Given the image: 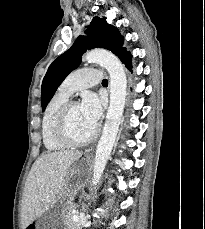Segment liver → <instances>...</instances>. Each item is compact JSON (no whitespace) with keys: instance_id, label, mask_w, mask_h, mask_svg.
Here are the masks:
<instances>
[{"instance_id":"obj_1","label":"liver","mask_w":205,"mask_h":229,"mask_svg":"<svg viewBox=\"0 0 205 229\" xmlns=\"http://www.w3.org/2000/svg\"><path fill=\"white\" fill-rule=\"evenodd\" d=\"M82 156L78 150H62L42 154L34 163L25 185L21 220L23 229L61 196L68 182L72 164Z\"/></svg>"}]
</instances>
